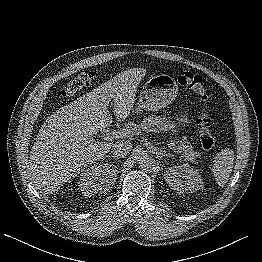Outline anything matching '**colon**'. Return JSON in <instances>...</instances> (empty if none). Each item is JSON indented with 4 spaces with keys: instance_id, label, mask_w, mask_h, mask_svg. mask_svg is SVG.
<instances>
[{
    "instance_id": "obj_1",
    "label": "colon",
    "mask_w": 262,
    "mask_h": 262,
    "mask_svg": "<svg viewBox=\"0 0 262 262\" xmlns=\"http://www.w3.org/2000/svg\"><path fill=\"white\" fill-rule=\"evenodd\" d=\"M94 74L84 73L73 80L61 90L60 95L64 98L72 97L76 92L88 88L92 84ZM180 85L191 89L202 105V110L196 120L199 128L200 143L203 149L209 151L216 147L217 142L211 134V118L208 113V92L204 80L201 76L185 72L178 77Z\"/></svg>"
}]
</instances>
